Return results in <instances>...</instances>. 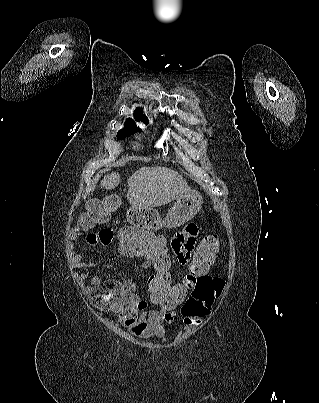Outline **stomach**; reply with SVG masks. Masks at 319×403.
Returning a JSON list of instances; mask_svg holds the SVG:
<instances>
[{"mask_svg": "<svg viewBox=\"0 0 319 403\" xmlns=\"http://www.w3.org/2000/svg\"><path fill=\"white\" fill-rule=\"evenodd\" d=\"M202 197L197 191H190L178 198L162 220L161 213L147 208H130L127 223L139 226L147 233L159 234L162 227L175 228L191 220L202 206Z\"/></svg>", "mask_w": 319, "mask_h": 403, "instance_id": "obj_1", "label": "stomach"}]
</instances>
